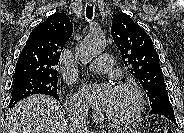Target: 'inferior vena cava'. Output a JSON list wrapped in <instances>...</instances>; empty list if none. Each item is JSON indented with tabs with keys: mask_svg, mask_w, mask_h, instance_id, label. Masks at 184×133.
<instances>
[{
	"mask_svg": "<svg viewBox=\"0 0 184 133\" xmlns=\"http://www.w3.org/2000/svg\"><path fill=\"white\" fill-rule=\"evenodd\" d=\"M71 120V132L72 133H88L87 127V116L88 110L84 106H76L73 109L69 110L68 114Z\"/></svg>",
	"mask_w": 184,
	"mask_h": 133,
	"instance_id": "obj_1",
	"label": "inferior vena cava"
}]
</instances>
